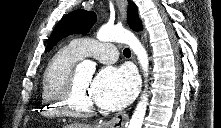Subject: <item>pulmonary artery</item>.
Listing matches in <instances>:
<instances>
[{
  "label": "pulmonary artery",
  "instance_id": "obj_1",
  "mask_svg": "<svg viewBox=\"0 0 221 128\" xmlns=\"http://www.w3.org/2000/svg\"><path fill=\"white\" fill-rule=\"evenodd\" d=\"M82 57L92 56L102 63H112L118 58V50L112 41L98 42L93 38H75L70 43Z\"/></svg>",
  "mask_w": 221,
  "mask_h": 128
}]
</instances>
